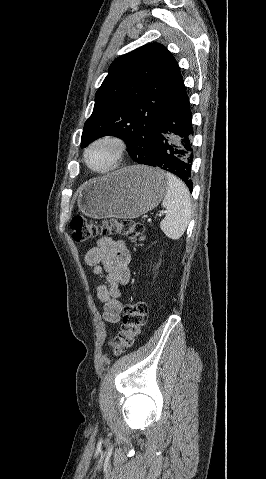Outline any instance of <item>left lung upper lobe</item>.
Instances as JSON below:
<instances>
[{"instance_id":"1","label":"left lung upper lobe","mask_w":266,"mask_h":479,"mask_svg":"<svg viewBox=\"0 0 266 479\" xmlns=\"http://www.w3.org/2000/svg\"><path fill=\"white\" fill-rule=\"evenodd\" d=\"M173 55L159 43L146 44L115 59L97 90L84 124L82 146L106 136L125 141L137 163L148 161L159 122L183 85Z\"/></svg>"}]
</instances>
